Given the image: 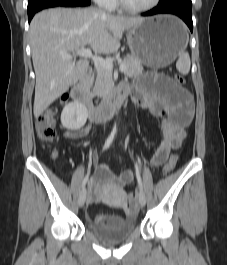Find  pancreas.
<instances>
[{
	"label": "pancreas",
	"instance_id": "pancreas-1",
	"mask_svg": "<svg viewBox=\"0 0 227 265\" xmlns=\"http://www.w3.org/2000/svg\"><path fill=\"white\" fill-rule=\"evenodd\" d=\"M120 64L126 65L127 70L124 74L128 77L137 76L143 71L141 62L130 55L125 57ZM89 87H92V95L105 98L114 88L112 71L98 67L96 69V75L91 78Z\"/></svg>",
	"mask_w": 227,
	"mask_h": 265
}]
</instances>
